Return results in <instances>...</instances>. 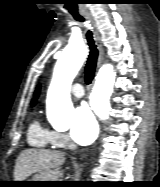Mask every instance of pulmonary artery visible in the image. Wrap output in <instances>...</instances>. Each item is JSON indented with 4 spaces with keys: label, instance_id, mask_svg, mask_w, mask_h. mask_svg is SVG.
<instances>
[{
    "label": "pulmonary artery",
    "instance_id": "pulmonary-artery-1",
    "mask_svg": "<svg viewBox=\"0 0 160 187\" xmlns=\"http://www.w3.org/2000/svg\"><path fill=\"white\" fill-rule=\"evenodd\" d=\"M72 94L76 97V98H81L85 95L84 93V89H83V85L76 83L72 86Z\"/></svg>",
    "mask_w": 160,
    "mask_h": 187
}]
</instances>
